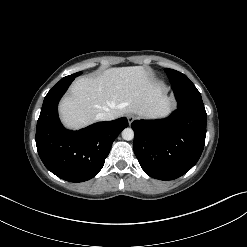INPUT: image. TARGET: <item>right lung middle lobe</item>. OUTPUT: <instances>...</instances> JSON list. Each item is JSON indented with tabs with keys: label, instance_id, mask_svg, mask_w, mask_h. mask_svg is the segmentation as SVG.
<instances>
[{
	"label": "right lung middle lobe",
	"instance_id": "1",
	"mask_svg": "<svg viewBox=\"0 0 247 247\" xmlns=\"http://www.w3.org/2000/svg\"><path fill=\"white\" fill-rule=\"evenodd\" d=\"M80 74H81V72H78V73H75V74H72V75L66 76V77H64V78H68V77H72V76L76 77V76H78V75H80Z\"/></svg>",
	"mask_w": 247,
	"mask_h": 247
}]
</instances>
